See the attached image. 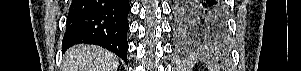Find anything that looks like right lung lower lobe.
Listing matches in <instances>:
<instances>
[{
    "mask_svg": "<svg viewBox=\"0 0 301 71\" xmlns=\"http://www.w3.org/2000/svg\"><path fill=\"white\" fill-rule=\"evenodd\" d=\"M129 12V0H73L63 51L74 44H94L110 50L127 63Z\"/></svg>",
    "mask_w": 301,
    "mask_h": 71,
    "instance_id": "1",
    "label": "right lung lower lobe"
}]
</instances>
